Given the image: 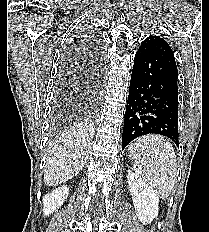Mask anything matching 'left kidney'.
<instances>
[{"label": "left kidney", "instance_id": "1", "mask_svg": "<svg viewBox=\"0 0 209 232\" xmlns=\"http://www.w3.org/2000/svg\"><path fill=\"white\" fill-rule=\"evenodd\" d=\"M127 182L136 214L143 224L158 216L159 194L138 174L128 171Z\"/></svg>", "mask_w": 209, "mask_h": 232}]
</instances>
